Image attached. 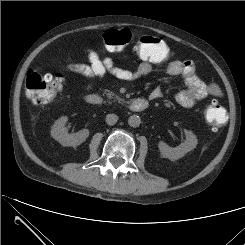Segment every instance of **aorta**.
I'll return each mask as SVG.
<instances>
[{"label":"aorta","instance_id":"1","mask_svg":"<svg viewBox=\"0 0 245 245\" xmlns=\"http://www.w3.org/2000/svg\"><path fill=\"white\" fill-rule=\"evenodd\" d=\"M141 123V119L138 115H132L128 119V124L131 127H138Z\"/></svg>","mask_w":245,"mask_h":245}]
</instances>
